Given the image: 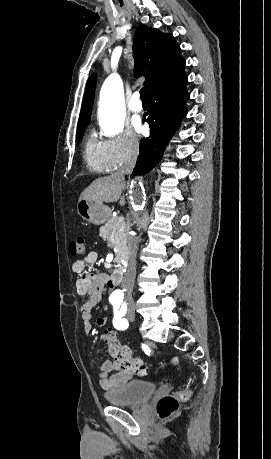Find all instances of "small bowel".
Returning a JSON list of instances; mask_svg holds the SVG:
<instances>
[{
  "instance_id": "c3829d8e",
  "label": "small bowel",
  "mask_w": 271,
  "mask_h": 459,
  "mask_svg": "<svg viewBox=\"0 0 271 459\" xmlns=\"http://www.w3.org/2000/svg\"><path fill=\"white\" fill-rule=\"evenodd\" d=\"M97 260V252L91 251L83 258L75 260L72 264L73 272L79 275L76 281L77 293L87 296V299L80 308L83 329L87 336L92 332V310L101 301L106 293L108 284L111 283L107 274L85 271L87 266L95 264ZM106 322L107 317L105 315L99 316L96 319V324L99 327H104ZM100 370L99 384L104 390L120 388L132 378V373L122 369L117 361L108 360L104 362Z\"/></svg>"
}]
</instances>
